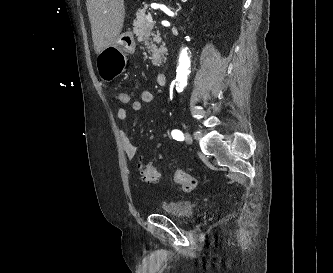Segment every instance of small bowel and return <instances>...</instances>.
Listing matches in <instances>:
<instances>
[{
    "label": "small bowel",
    "instance_id": "1",
    "mask_svg": "<svg viewBox=\"0 0 333 273\" xmlns=\"http://www.w3.org/2000/svg\"><path fill=\"white\" fill-rule=\"evenodd\" d=\"M153 101V93L150 90H143L140 93V99L132 101L131 108L134 112H140L143 105L149 104ZM116 116L119 120L125 121L128 118V110L124 107H119L116 111ZM121 141L123 149L128 161L133 162L137 158V150L132 143L131 137L127 131L121 130Z\"/></svg>",
    "mask_w": 333,
    "mask_h": 273
}]
</instances>
